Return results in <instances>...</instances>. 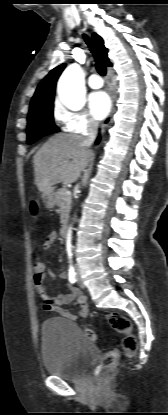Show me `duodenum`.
I'll return each instance as SVG.
<instances>
[{
	"label": "duodenum",
	"mask_w": 168,
	"mask_h": 415,
	"mask_svg": "<svg viewBox=\"0 0 168 415\" xmlns=\"http://www.w3.org/2000/svg\"><path fill=\"white\" fill-rule=\"evenodd\" d=\"M67 230H68L67 224H63L60 228V231H59L60 235L63 236V237L66 236Z\"/></svg>",
	"instance_id": "duodenum-1"
}]
</instances>
